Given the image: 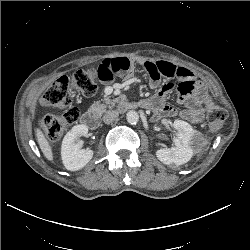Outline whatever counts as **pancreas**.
<instances>
[{"label":"pancreas","instance_id":"obj_1","mask_svg":"<svg viewBox=\"0 0 250 250\" xmlns=\"http://www.w3.org/2000/svg\"><path fill=\"white\" fill-rule=\"evenodd\" d=\"M116 100H111L109 97L105 98V104L95 102L92 104L91 109L101 115L107 108L111 109L115 106Z\"/></svg>","mask_w":250,"mask_h":250}]
</instances>
